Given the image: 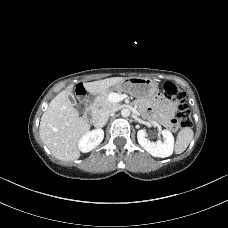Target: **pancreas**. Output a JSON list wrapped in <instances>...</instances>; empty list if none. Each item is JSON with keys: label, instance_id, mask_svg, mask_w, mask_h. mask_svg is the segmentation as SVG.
Here are the masks:
<instances>
[{"label": "pancreas", "instance_id": "1", "mask_svg": "<svg viewBox=\"0 0 228 228\" xmlns=\"http://www.w3.org/2000/svg\"><path fill=\"white\" fill-rule=\"evenodd\" d=\"M112 94H113V92H110V93L99 96L95 100V103H94L95 108L100 112L115 111L118 108V103L112 102L110 100Z\"/></svg>", "mask_w": 228, "mask_h": 228}]
</instances>
